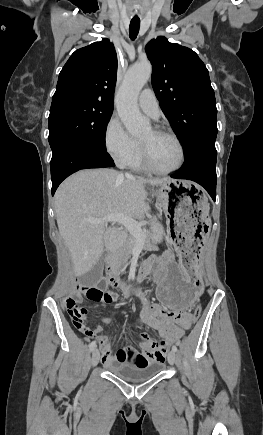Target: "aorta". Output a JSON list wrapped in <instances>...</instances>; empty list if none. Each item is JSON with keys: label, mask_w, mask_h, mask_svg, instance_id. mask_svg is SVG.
Returning a JSON list of instances; mask_svg holds the SVG:
<instances>
[{"label": "aorta", "mask_w": 263, "mask_h": 435, "mask_svg": "<svg viewBox=\"0 0 263 435\" xmlns=\"http://www.w3.org/2000/svg\"><path fill=\"white\" fill-rule=\"evenodd\" d=\"M149 62L131 67L123 80L117 99V112L127 131L141 136L150 131L149 121L142 116L137 105L139 92L151 77Z\"/></svg>", "instance_id": "1"}]
</instances>
